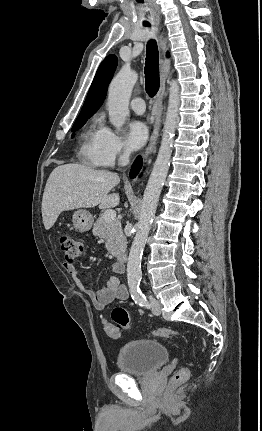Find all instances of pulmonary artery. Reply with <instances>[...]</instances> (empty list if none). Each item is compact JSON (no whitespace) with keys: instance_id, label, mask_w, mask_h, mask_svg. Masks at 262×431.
<instances>
[{"instance_id":"obj_1","label":"pulmonary artery","mask_w":262,"mask_h":431,"mask_svg":"<svg viewBox=\"0 0 262 431\" xmlns=\"http://www.w3.org/2000/svg\"><path fill=\"white\" fill-rule=\"evenodd\" d=\"M130 106L132 110L137 114H143L145 112V101L141 97H135L131 100Z\"/></svg>"}]
</instances>
